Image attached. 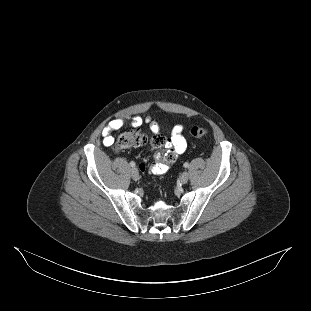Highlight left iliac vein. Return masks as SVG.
Returning a JSON list of instances; mask_svg holds the SVG:
<instances>
[{"label": "left iliac vein", "instance_id": "1", "mask_svg": "<svg viewBox=\"0 0 311 311\" xmlns=\"http://www.w3.org/2000/svg\"><path fill=\"white\" fill-rule=\"evenodd\" d=\"M188 179H189V174H188V172H183V173L181 174V176H180V182H181L182 184H185V183H187Z\"/></svg>", "mask_w": 311, "mask_h": 311}]
</instances>
